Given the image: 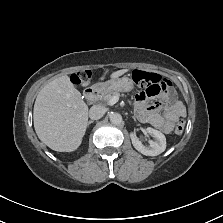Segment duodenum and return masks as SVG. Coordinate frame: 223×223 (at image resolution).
<instances>
[{
    "label": "duodenum",
    "mask_w": 223,
    "mask_h": 223,
    "mask_svg": "<svg viewBox=\"0 0 223 223\" xmlns=\"http://www.w3.org/2000/svg\"><path fill=\"white\" fill-rule=\"evenodd\" d=\"M104 93V87L102 84H97L94 85L93 87L89 88L84 97L85 100L88 104H92L94 103V101L96 100V98L98 97L99 94Z\"/></svg>",
    "instance_id": "obj_1"
}]
</instances>
